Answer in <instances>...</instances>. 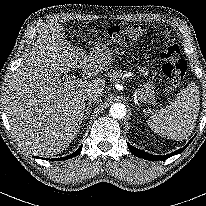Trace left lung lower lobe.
Masks as SVG:
<instances>
[{"label": "left lung lower lobe", "instance_id": "obj_1", "mask_svg": "<svg viewBox=\"0 0 206 206\" xmlns=\"http://www.w3.org/2000/svg\"><path fill=\"white\" fill-rule=\"evenodd\" d=\"M191 141H192V139L188 142V144L185 147H183V148H181V149H179L171 154H167L164 156H157V155H152V154L146 153L140 149L135 148L134 146L130 145L129 143H127V145H128L129 150L137 157H140V158H143L146 160H151V161H159V160H166V159H168L176 154L181 153L190 144Z\"/></svg>", "mask_w": 206, "mask_h": 206}]
</instances>
